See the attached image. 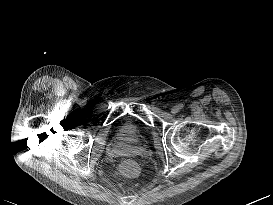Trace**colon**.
Instances as JSON below:
<instances>
[{
  "instance_id": "5ec220e1",
  "label": "colon",
  "mask_w": 273,
  "mask_h": 205,
  "mask_svg": "<svg viewBox=\"0 0 273 205\" xmlns=\"http://www.w3.org/2000/svg\"><path fill=\"white\" fill-rule=\"evenodd\" d=\"M138 172V166L133 161H125L120 165V173L124 177H133Z\"/></svg>"
}]
</instances>
